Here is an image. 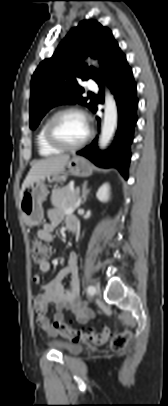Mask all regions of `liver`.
I'll list each match as a JSON object with an SVG mask.
<instances>
[{
    "mask_svg": "<svg viewBox=\"0 0 168 406\" xmlns=\"http://www.w3.org/2000/svg\"><path fill=\"white\" fill-rule=\"evenodd\" d=\"M69 159V155H59L48 157L46 159L35 162L22 184L20 199L23 195L24 190L32 183L40 180H45V178L53 175L57 176L62 173Z\"/></svg>",
    "mask_w": 168,
    "mask_h": 406,
    "instance_id": "liver-1",
    "label": "liver"
}]
</instances>
